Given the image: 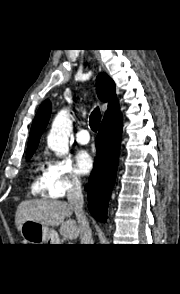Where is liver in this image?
Returning <instances> with one entry per match:
<instances>
[{
	"instance_id": "obj_1",
	"label": "liver",
	"mask_w": 180,
	"mask_h": 294,
	"mask_svg": "<svg viewBox=\"0 0 180 294\" xmlns=\"http://www.w3.org/2000/svg\"><path fill=\"white\" fill-rule=\"evenodd\" d=\"M73 208L69 203L59 200H27L22 201L15 214L18 231L27 221H35L46 226H60V233L69 239H76L80 229L77 222L71 219ZM66 218H69L65 220Z\"/></svg>"
}]
</instances>
